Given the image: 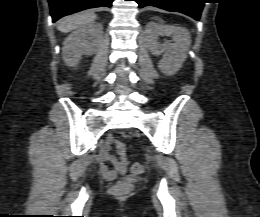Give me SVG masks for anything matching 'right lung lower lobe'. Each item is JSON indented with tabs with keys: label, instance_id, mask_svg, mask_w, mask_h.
<instances>
[{
	"label": "right lung lower lobe",
	"instance_id": "obj_1",
	"mask_svg": "<svg viewBox=\"0 0 260 217\" xmlns=\"http://www.w3.org/2000/svg\"><path fill=\"white\" fill-rule=\"evenodd\" d=\"M52 21L93 7H111L113 0H48Z\"/></svg>",
	"mask_w": 260,
	"mask_h": 217
}]
</instances>
